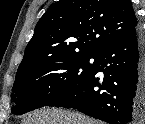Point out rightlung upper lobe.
Returning a JSON list of instances; mask_svg holds the SVG:
<instances>
[{
  "label": "right lung upper lobe",
  "instance_id": "1",
  "mask_svg": "<svg viewBox=\"0 0 145 124\" xmlns=\"http://www.w3.org/2000/svg\"><path fill=\"white\" fill-rule=\"evenodd\" d=\"M137 25L130 0H59L37 23L16 77L50 59L98 55Z\"/></svg>",
  "mask_w": 145,
  "mask_h": 124
}]
</instances>
